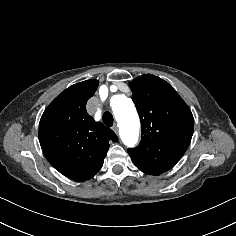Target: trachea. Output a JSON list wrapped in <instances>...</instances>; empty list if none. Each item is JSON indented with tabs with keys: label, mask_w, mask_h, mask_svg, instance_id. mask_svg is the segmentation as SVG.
<instances>
[{
	"label": "trachea",
	"mask_w": 236,
	"mask_h": 236,
	"mask_svg": "<svg viewBox=\"0 0 236 236\" xmlns=\"http://www.w3.org/2000/svg\"><path fill=\"white\" fill-rule=\"evenodd\" d=\"M102 120L104 124L108 127H111L113 125V115L110 112H105L102 116Z\"/></svg>",
	"instance_id": "trachea-1"
}]
</instances>
